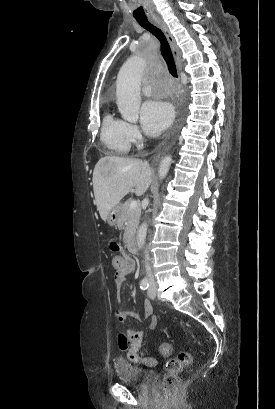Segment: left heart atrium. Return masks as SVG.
<instances>
[{
    "instance_id": "1",
    "label": "left heart atrium",
    "mask_w": 275,
    "mask_h": 409,
    "mask_svg": "<svg viewBox=\"0 0 275 409\" xmlns=\"http://www.w3.org/2000/svg\"><path fill=\"white\" fill-rule=\"evenodd\" d=\"M141 118L146 131L151 135H158L172 122L173 111L168 103L151 100L143 105Z\"/></svg>"
}]
</instances>
